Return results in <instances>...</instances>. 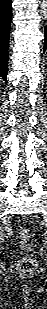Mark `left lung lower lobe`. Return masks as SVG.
<instances>
[{"label": "left lung lower lobe", "mask_w": 47, "mask_h": 309, "mask_svg": "<svg viewBox=\"0 0 47 309\" xmlns=\"http://www.w3.org/2000/svg\"><path fill=\"white\" fill-rule=\"evenodd\" d=\"M47 49V26L45 27V43H44V48H43V53Z\"/></svg>", "instance_id": "obj_1"}]
</instances>
